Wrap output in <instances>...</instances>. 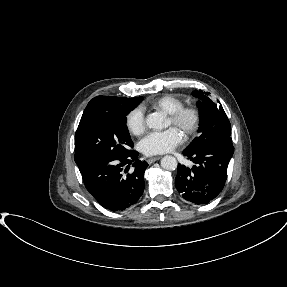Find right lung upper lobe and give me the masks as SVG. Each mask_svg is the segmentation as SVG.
Returning <instances> with one entry per match:
<instances>
[{"label": "right lung upper lobe", "mask_w": 287, "mask_h": 287, "mask_svg": "<svg viewBox=\"0 0 287 287\" xmlns=\"http://www.w3.org/2000/svg\"><path fill=\"white\" fill-rule=\"evenodd\" d=\"M127 99H133V98H122L112 96H97L93 98L85 108L76 132L78 133L88 122H90L94 117H96L104 108L113 106L116 103Z\"/></svg>", "instance_id": "obj_1"}]
</instances>
